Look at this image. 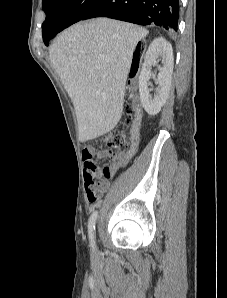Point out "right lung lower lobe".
I'll return each instance as SVG.
<instances>
[{"label":"right lung lower lobe","instance_id":"98d812e1","mask_svg":"<svg viewBox=\"0 0 227 298\" xmlns=\"http://www.w3.org/2000/svg\"><path fill=\"white\" fill-rule=\"evenodd\" d=\"M109 17L177 31L179 0H100L81 20Z\"/></svg>","mask_w":227,"mask_h":298}]
</instances>
